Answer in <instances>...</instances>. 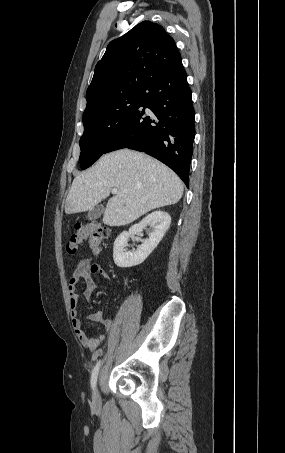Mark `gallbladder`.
Instances as JSON below:
<instances>
[{"label":"gallbladder","mask_w":285,"mask_h":453,"mask_svg":"<svg viewBox=\"0 0 285 453\" xmlns=\"http://www.w3.org/2000/svg\"><path fill=\"white\" fill-rule=\"evenodd\" d=\"M104 212L103 205H96L95 207L91 208L87 213V218L89 220L98 219Z\"/></svg>","instance_id":"obj_1"}]
</instances>
